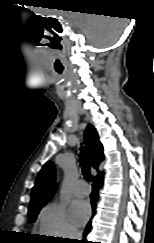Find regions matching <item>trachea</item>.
Masks as SVG:
<instances>
[{
	"mask_svg": "<svg viewBox=\"0 0 154 243\" xmlns=\"http://www.w3.org/2000/svg\"><path fill=\"white\" fill-rule=\"evenodd\" d=\"M81 153H80V165L82 168V172L84 175V178L88 181L91 182L92 181V176H91V172H90V167L86 158V155L83 151V147L80 148Z\"/></svg>",
	"mask_w": 154,
	"mask_h": 243,
	"instance_id": "obj_1",
	"label": "trachea"
}]
</instances>
